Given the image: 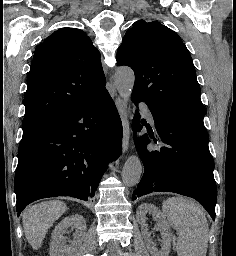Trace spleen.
Instances as JSON below:
<instances>
[{
    "label": "spleen",
    "mask_w": 236,
    "mask_h": 256,
    "mask_svg": "<svg viewBox=\"0 0 236 256\" xmlns=\"http://www.w3.org/2000/svg\"><path fill=\"white\" fill-rule=\"evenodd\" d=\"M162 210L177 232V256H206L209 228L199 206L186 198H168Z\"/></svg>",
    "instance_id": "obj_1"
}]
</instances>
